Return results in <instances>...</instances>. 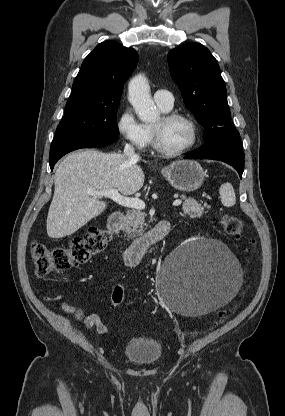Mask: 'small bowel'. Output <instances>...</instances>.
<instances>
[{"label": "small bowel", "instance_id": "1", "mask_svg": "<svg viewBox=\"0 0 285 416\" xmlns=\"http://www.w3.org/2000/svg\"><path fill=\"white\" fill-rule=\"evenodd\" d=\"M61 307L64 312L72 314L76 322L83 324L86 329L95 328L99 334H106L108 332V327L104 324L100 315L91 314L86 316L80 307L66 303H62Z\"/></svg>", "mask_w": 285, "mask_h": 416}]
</instances>
